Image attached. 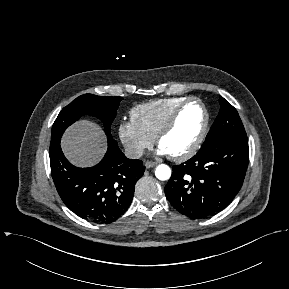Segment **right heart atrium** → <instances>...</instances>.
I'll list each match as a JSON object with an SVG mask.
<instances>
[{
    "mask_svg": "<svg viewBox=\"0 0 289 289\" xmlns=\"http://www.w3.org/2000/svg\"><path fill=\"white\" fill-rule=\"evenodd\" d=\"M118 134L128 154L135 158L140 157L154 142V138L133 120L122 121L118 127Z\"/></svg>",
    "mask_w": 289,
    "mask_h": 289,
    "instance_id": "1",
    "label": "right heart atrium"
}]
</instances>
